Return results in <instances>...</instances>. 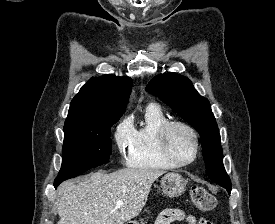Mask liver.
Here are the masks:
<instances>
[{
	"instance_id": "6515ba94",
	"label": "liver",
	"mask_w": 275,
	"mask_h": 224,
	"mask_svg": "<svg viewBox=\"0 0 275 224\" xmlns=\"http://www.w3.org/2000/svg\"><path fill=\"white\" fill-rule=\"evenodd\" d=\"M158 169H120L93 173L87 180L66 181L57 189V224H124L138 216ZM118 200L123 201L120 208Z\"/></svg>"
}]
</instances>
